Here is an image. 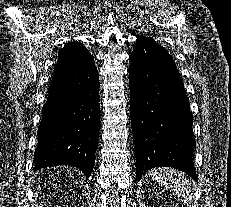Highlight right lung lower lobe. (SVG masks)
I'll use <instances>...</instances> for the list:
<instances>
[{
	"instance_id": "98d812e1",
	"label": "right lung lower lobe",
	"mask_w": 231,
	"mask_h": 207,
	"mask_svg": "<svg viewBox=\"0 0 231 207\" xmlns=\"http://www.w3.org/2000/svg\"><path fill=\"white\" fill-rule=\"evenodd\" d=\"M98 92L92 56L72 70L55 65L37 132L35 170L72 165L90 177L100 130Z\"/></svg>"
}]
</instances>
